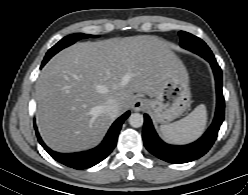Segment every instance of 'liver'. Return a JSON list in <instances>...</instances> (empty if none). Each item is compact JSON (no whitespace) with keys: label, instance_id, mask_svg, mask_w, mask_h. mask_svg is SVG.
<instances>
[{"label":"liver","instance_id":"liver-1","mask_svg":"<svg viewBox=\"0 0 248 195\" xmlns=\"http://www.w3.org/2000/svg\"><path fill=\"white\" fill-rule=\"evenodd\" d=\"M179 67V58L156 36L76 43L56 54L39 75V132L58 152L92 148L116 118L104 113L107 100L118 102L119 116L132 104L134 93L155 97Z\"/></svg>","mask_w":248,"mask_h":195}]
</instances>
